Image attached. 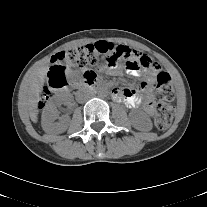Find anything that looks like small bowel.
I'll return each mask as SVG.
<instances>
[{
	"mask_svg": "<svg viewBox=\"0 0 207 207\" xmlns=\"http://www.w3.org/2000/svg\"><path fill=\"white\" fill-rule=\"evenodd\" d=\"M126 67V72L133 76L141 75L143 72L140 69L130 70ZM108 73L114 76L122 74V70L114 67L108 69ZM113 98L116 101L123 102L130 108L138 107L142 102H145V110L148 114H153V94L149 83H142L138 90L129 88H114L112 91Z\"/></svg>",
	"mask_w": 207,
	"mask_h": 207,
	"instance_id": "1",
	"label": "small bowel"
}]
</instances>
